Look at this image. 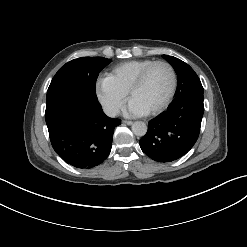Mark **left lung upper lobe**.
<instances>
[{
    "label": "left lung upper lobe",
    "instance_id": "5c2ea615",
    "mask_svg": "<svg viewBox=\"0 0 247 247\" xmlns=\"http://www.w3.org/2000/svg\"><path fill=\"white\" fill-rule=\"evenodd\" d=\"M162 56L172 65L177 74L178 85L175 92L174 101L193 93L203 94V87L199 77L187 63L173 56Z\"/></svg>",
    "mask_w": 247,
    "mask_h": 247
}]
</instances>
